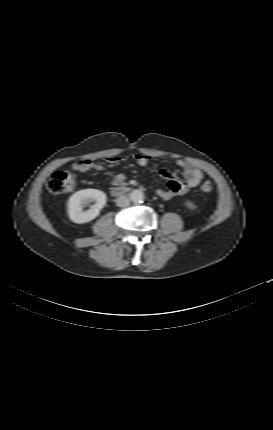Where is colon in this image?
<instances>
[{
    "mask_svg": "<svg viewBox=\"0 0 273 430\" xmlns=\"http://www.w3.org/2000/svg\"><path fill=\"white\" fill-rule=\"evenodd\" d=\"M75 186V175L68 171H56L54 172L47 182L48 190L55 195H61L68 193L74 189ZM213 189V185L210 181L202 183L200 190L203 193H209Z\"/></svg>",
    "mask_w": 273,
    "mask_h": 430,
    "instance_id": "5ec220e1",
    "label": "colon"
}]
</instances>
